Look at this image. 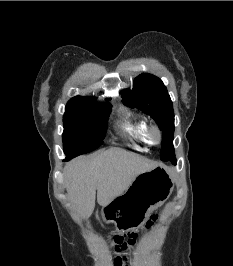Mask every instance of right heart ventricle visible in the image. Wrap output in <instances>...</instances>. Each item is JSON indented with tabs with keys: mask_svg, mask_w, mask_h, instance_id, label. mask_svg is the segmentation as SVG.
<instances>
[{
	"mask_svg": "<svg viewBox=\"0 0 233 266\" xmlns=\"http://www.w3.org/2000/svg\"><path fill=\"white\" fill-rule=\"evenodd\" d=\"M124 129L134 141L143 145L150 144L147 138L148 125L143 118L131 116L130 114L125 121Z\"/></svg>",
	"mask_w": 233,
	"mask_h": 266,
	"instance_id": "obj_1",
	"label": "right heart ventricle"
}]
</instances>
